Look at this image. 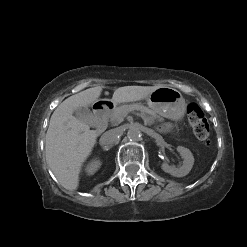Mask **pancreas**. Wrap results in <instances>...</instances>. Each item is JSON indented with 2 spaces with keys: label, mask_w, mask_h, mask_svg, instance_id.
<instances>
[{
  "label": "pancreas",
  "mask_w": 247,
  "mask_h": 247,
  "mask_svg": "<svg viewBox=\"0 0 247 247\" xmlns=\"http://www.w3.org/2000/svg\"><path fill=\"white\" fill-rule=\"evenodd\" d=\"M140 111L144 115H150L153 119H157L161 121L162 119L160 118L159 115L156 114L155 111L152 109L143 106L141 104H129V105H121L119 107H116L113 111H111L107 117L106 121L110 122L112 125L116 126L120 124L123 120L124 117L132 111Z\"/></svg>",
  "instance_id": "pancreas-1"
}]
</instances>
